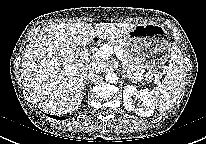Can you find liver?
<instances>
[{
    "label": "liver",
    "instance_id": "obj_1",
    "mask_svg": "<svg viewBox=\"0 0 206 144\" xmlns=\"http://www.w3.org/2000/svg\"><path fill=\"white\" fill-rule=\"evenodd\" d=\"M136 25L129 23L52 24L39 32L27 46L21 75L33 102L44 111L66 114L82 102L85 69L73 46L86 45L94 37L118 39ZM74 43V45H72Z\"/></svg>",
    "mask_w": 206,
    "mask_h": 144
}]
</instances>
